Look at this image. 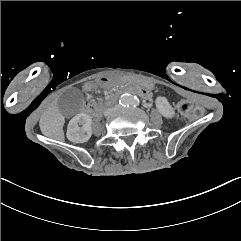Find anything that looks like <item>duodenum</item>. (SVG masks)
<instances>
[{"instance_id":"410a0bca","label":"duodenum","mask_w":241,"mask_h":241,"mask_svg":"<svg viewBox=\"0 0 241 241\" xmlns=\"http://www.w3.org/2000/svg\"><path fill=\"white\" fill-rule=\"evenodd\" d=\"M125 93L137 94L143 98H147L149 96V92L145 89H142V88H139L136 86H126V87L116 90L112 94H110L108 96V98L106 99L104 105H93V104L89 103L87 105V109L94 118H99L103 113L104 107L110 106L120 96H122Z\"/></svg>"}]
</instances>
